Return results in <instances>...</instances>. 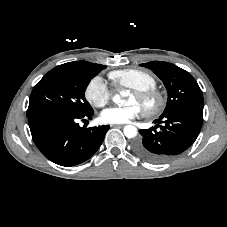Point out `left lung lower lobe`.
I'll list each match as a JSON object with an SVG mask.
<instances>
[{
  "instance_id": "obj_1",
  "label": "left lung lower lobe",
  "mask_w": 227,
  "mask_h": 227,
  "mask_svg": "<svg viewBox=\"0 0 227 227\" xmlns=\"http://www.w3.org/2000/svg\"><path fill=\"white\" fill-rule=\"evenodd\" d=\"M203 122V111L182 110L155 120L156 125L139 130L142 137L135 142L134 150L152 163H164L188 149L196 140ZM160 127V130H156Z\"/></svg>"
}]
</instances>
